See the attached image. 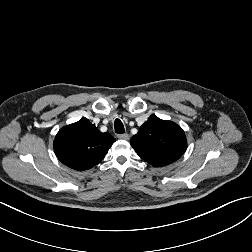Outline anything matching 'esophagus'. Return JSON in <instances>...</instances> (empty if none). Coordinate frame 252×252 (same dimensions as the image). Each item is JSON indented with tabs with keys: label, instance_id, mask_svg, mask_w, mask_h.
I'll use <instances>...</instances> for the list:
<instances>
[{
	"label": "esophagus",
	"instance_id": "34e87169",
	"mask_svg": "<svg viewBox=\"0 0 252 252\" xmlns=\"http://www.w3.org/2000/svg\"><path fill=\"white\" fill-rule=\"evenodd\" d=\"M117 137L119 139H124V140H128L129 139V135L127 133L124 134H118Z\"/></svg>",
	"mask_w": 252,
	"mask_h": 252
}]
</instances>
